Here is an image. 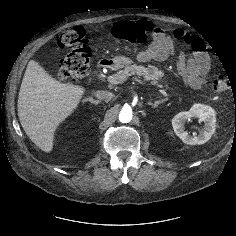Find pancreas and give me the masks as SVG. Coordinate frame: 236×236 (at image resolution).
Segmentation results:
<instances>
[{"instance_id":"1","label":"pancreas","mask_w":236,"mask_h":236,"mask_svg":"<svg viewBox=\"0 0 236 236\" xmlns=\"http://www.w3.org/2000/svg\"><path fill=\"white\" fill-rule=\"evenodd\" d=\"M123 81L132 75L142 76L145 81H151L153 85H159V82H164L166 88H170L168 82L164 78V73L157 67L149 65L148 67L129 65L124 70H120L115 74Z\"/></svg>"}]
</instances>
